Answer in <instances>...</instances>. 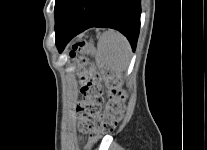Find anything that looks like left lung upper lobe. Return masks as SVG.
Segmentation results:
<instances>
[{
    "instance_id": "1",
    "label": "left lung upper lobe",
    "mask_w": 207,
    "mask_h": 150,
    "mask_svg": "<svg viewBox=\"0 0 207 150\" xmlns=\"http://www.w3.org/2000/svg\"><path fill=\"white\" fill-rule=\"evenodd\" d=\"M66 0H56L55 1V21L60 13L62 6L64 5Z\"/></svg>"
}]
</instances>
